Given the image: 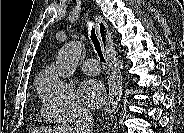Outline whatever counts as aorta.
<instances>
[{
    "instance_id": "obj_1",
    "label": "aorta",
    "mask_w": 184,
    "mask_h": 133,
    "mask_svg": "<svg viewBox=\"0 0 184 133\" xmlns=\"http://www.w3.org/2000/svg\"><path fill=\"white\" fill-rule=\"evenodd\" d=\"M83 49L84 44L80 41H71L63 45L56 59V70L60 77L69 78L74 74Z\"/></svg>"
}]
</instances>
